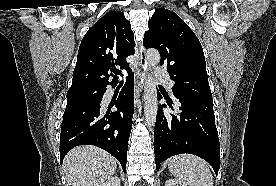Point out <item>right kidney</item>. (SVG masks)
Returning a JSON list of instances; mask_svg holds the SVG:
<instances>
[{"label":"right kidney","mask_w":276,"mask_h":186,"mask_svg":"<svg viewBox=\"0 0 276 186\" xmlns=\"http://www.w3.org/2000/svg\"><path fill=\"white\" fill-rule=\"evenodd\" d=\"M102 186H120V179L117 176L111 177Z\"/></svg>","instance_id":"1"}]
</instances>
